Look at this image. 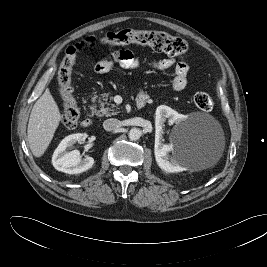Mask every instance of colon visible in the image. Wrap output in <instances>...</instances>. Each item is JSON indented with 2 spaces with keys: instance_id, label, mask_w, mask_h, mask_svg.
Masks as SVG:
<instances>
[{
  "instance_id": "obj_1",
  "label": "colon",
  "mask_w": 267,
  "mask_h": 267,
  "mask_svg": "<svg viewBox=\"0 0 267 267\" xmlns=\"http://www.w3.org/2000/svg\"><path fill=\"white\" fill-rule=\"evenodd\" d=\"M129 43L147 45L155 51L164 52L170 56L184 57L188 53V44L180 37L172 36L161 30H134L130 28L110 32L99 41L94 38H87L81 43L68 47L57 76L59 92L63 102L62 123L66 128H75L80 117V110L72 86V68L77 53L86 48L96 47L97 44ZM194 104L202 111H210L214 102L210 94L198 92L194 96Z\"/></svg>"
}]
</instances>
